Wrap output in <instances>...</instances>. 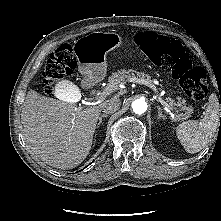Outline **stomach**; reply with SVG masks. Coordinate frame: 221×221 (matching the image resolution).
<instances>
[{
  "label": "stomach",
  "instance_id": "0dacf381",
  "mask_svg": "<svg viewBox=\"0 0 221 221\" xmlns=\"http://www.w3.org/2000/svg\"><path fill=\"white\" fill-rule=\"evenodd\" d=\"M122 38L114 32H94L78 41V69L89 82H99L106 75V54L119 47Z\"/></svg>",
  "mask_w": 221,
  "mask_h": 221
}]
</instances>
